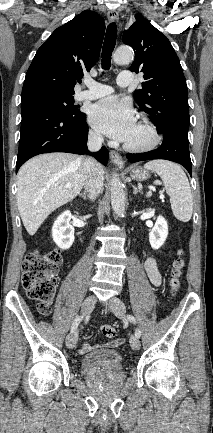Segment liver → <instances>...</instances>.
<instances>
[{
	"label": "liver",
	"instance_id": "obj_1",
	"mask_svg": "<svg viewBox=\"0 0 213 433\" xmlns=\"http://www.w3.org/2000/svg\"><path fill=\"white\" fill-rule=\"evenodd\" d=\"M99 166L104 174L103 167ZM85 177L86 159L69 153L42 154L20 168L17 206L24 227L31 236L49 214L80 193Z\"/></svg>",
	"mask_w": 213,
	"mask_h": 433
}]
</instances>
